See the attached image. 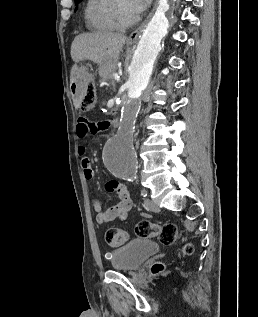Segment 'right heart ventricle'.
<instances>
[{
  "label": "right heart ventricle",
  "instance_id": "right-heart-ventricle-1",
  "mask_svg": "<svg viewBox=\"0 0 258 317\" xmlns=\"http://www.w3.org/2000/svg\"><path fill=\"white\" fill-rule=\"evenodd\" d=\"M118 0H88L84 8V17L88 27L99 33H110L116 30L111 12Z\"/></svg>",
  "mask_w": 258,
  "mask_h": 317
}]
</instances>
